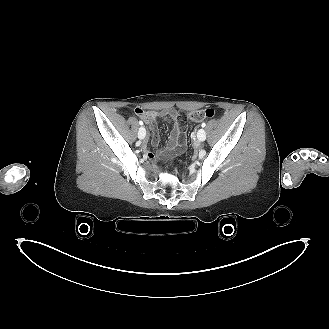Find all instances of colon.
I'll list each match as a JSON object with an SVG mask.
<instances>
[{
    "label": "colon",
    "mask_w": 329,
    "mask_h": 329,
    "mask_svg": "<svg viewBox=\"0 0 329 329\" xmlns=\"http://www.w3.org/2000/svg\"><path fill=\"white\" fill-rule=\"evenodd\" d=\"M187 118L194 122H200L206 119H210L214 116V111L212 109H202L186 112Z\"/></svg>",
    "instance_id": "obj_1"
}]
</instances>
